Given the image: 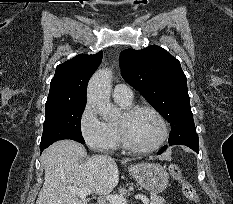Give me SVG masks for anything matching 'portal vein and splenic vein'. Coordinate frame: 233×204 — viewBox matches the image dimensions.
<instances>
[{
	"label": "portal vein and splenic vein",
	"instance_id": "1",
	"mask_svg": "<svg viewBox=\"0 0 233 204\" xmlns=\"http://www.w3.org/2000/svg\"><path fill=\"white\" fill-rule=\"evenodd\" d=\"M68 189L70 192L78 194L82 199L92 193L89 189H80L77 187H69ZM135 198L140 199L144 204H148V199L144 195H136ZM107 199L111 204H127V200L122 195H108Z\"/></svg>",
	"mask_w": 233,
	"mask_h": 204
}]
</instances>
